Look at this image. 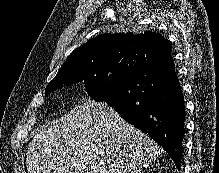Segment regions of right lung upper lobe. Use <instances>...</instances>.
<instances>
[{
  "label": "right lung upper lobe",
  "instance_id": "cb5924a9",
  "mask_svg": "<svg viewBox=\"0 0 219 173\" xmlns=\"http://www.w3.org/2000/svg\"><path fill=\"white\" fill-rule=\"evenodd\" d=\"M172 43L156 32L144 34L115 33L98 35L75 49L62 65L55 78L63 73L86 74L103 65L132 63L138 66L157 59L160 62L171 59Z\"/></svg>",
  "mask_w": 219,
  "mask_h": 173
}]
</instances>
